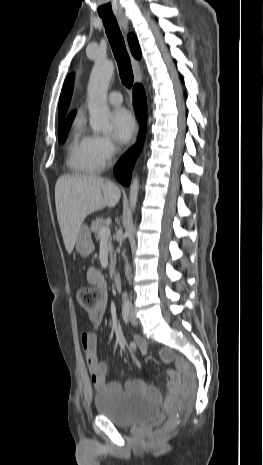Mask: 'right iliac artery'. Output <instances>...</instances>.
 Listing matches in <instances>:
<instances>
[{"label": "right iliac artery", "mask_w": 263, "mask_h": 465, "mask_svg": "<svg viewBox=\"0 0 263 465\" xmlns=\"http://www.w3.org/2000/svg\"><path fill=\"white\" fill-rule=\"evenodd\" d=\"M122 316L125 323H129L130 320V304L125 303L122 308Z\"/></svg>", "instance_id": "right-iliac-artery-1"}]
</instances>
